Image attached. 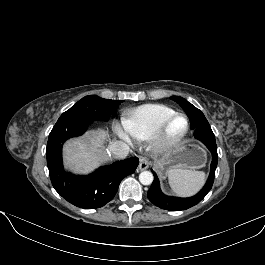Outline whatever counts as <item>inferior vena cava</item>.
<instances>
[{
  "instance_id": "602c4592",
  "label": "inferior vena cava",
  "mask_w": 265,
  "mask_h": 265,
  "mask_svg": "<svg viewBox=\"0 0 265 265\" xmlns=\"http://www.w3.org/2000/svg\"><path fill=\"white\" fill-rule=\"evenodd\" d=\"M108 151L111 157L124 159L128 156L130 148L129 145L123 141H115L108 146Z\"/></svg>"
}]
</instances>
